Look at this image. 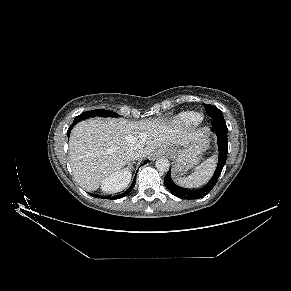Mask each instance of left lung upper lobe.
Wrapping results in <instances>:
<instances>
[{
  "mask_svg": "<svg viewBox=\"0 0 291 291\" xmlns=\"http://www.w3.org/2000/svg\"><path fill=\"white\" fill-rule=\"evenodd\" d=\"M209 115L212 117V121L214 122H225L222 112L213 105H205ZM182 199H192L191 193L189 191H182L181 193Z\"/></svg>",
  "mask_w": 291,
  "mask_h": 291,
  "instance_id": "left-lung-upper-lobe-1",
  "label": "left lung upper lobe"
}]
</instances>
